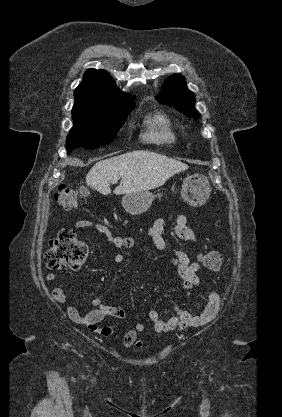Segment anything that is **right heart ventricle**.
<instances>
[{
    "label": "right heart ventricle",
    "instance_id": "right-heart-ventricle-1",
    "mask_svg": "<svg viewBox=\"0 0 282 417\" xmlns=\"http://www.w3.org/2000/svg\"><path fill=\"white\" fill-rule=\"evenodd\" d=\"M147 131L144 134L146 140L165 144L173 140V134L168 119L161 113H155L146 119Z\"/></svg>",
    "mask_w": 282,
    "mask_h": 417
}]
</instances>
